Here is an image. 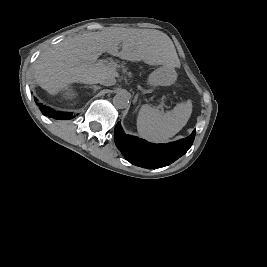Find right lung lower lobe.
Listing matches in <instances>:
<instances>
[{
    "mask_svg": "<svg viewBox=\"0 0 267 267\" xmlns=\"http://www.w3.org/2000/svg\"><path fill=\"white\" fill-rule=\"evenodd\" d=\"M41 111L44 115H47L48 117H52L54 119H72V113L67 112H60V111H54L53 109L47 107V106H41Z\"/></svg>",
    "mask_w": 267,
    "mask_h": 267,
    "instance_id": "right-lung-lower-lobe-1",
    "label": "right lung lower lobe"
}]
</instances>
